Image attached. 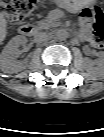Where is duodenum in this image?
I'll use <instances>...</instances> for the list:
<instances>
[{"label": "duodenum", "instance_id": "duodenum-1", "mask_svg": "<svg viewBox=\"0 0 104 137\" xmlns=\"http://www.w3.org/2000/svg\"><path fill=\"white\" fill-rule=\"evenodd\" d=\"M35 31L33 25L22 24L19 26V33L23 36H32Z\"/></svg>", "mask_w": 104, "mask_h": 137}]
</instances>
